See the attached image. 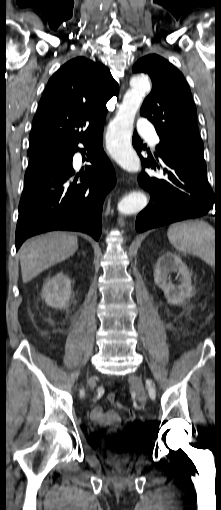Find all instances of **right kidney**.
Returning a JSON list of instances; mask_svg holds the SVG:
<instances>
[{
  "instance_id": "ca27d5eb",
  "label": "right kidney",
  "mask_w": 221,
  "mask_h": 510,
  "mask_svg": "<svg viewBox=\"0 0 221 510\" xmlns=\"http://www.w3.org/2000/svg\"><path fill=\"white\" fill-rule=\"evenodd\" d=\"M71 293L70 279L60 272L45 281L41 295L47 305L62 309L69 302Z\"/></svg>"
}]
</instances>
